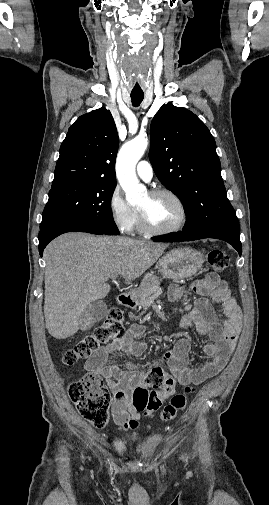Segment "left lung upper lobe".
<instances>
[{
  "label": "left lung upper lobe",
  "instance_id": "5c2ea615",
  "mask_svg": "<svg viewBox=\"0 0 269 505\" xmlns=\"http://www.w3.org/2000/svg\"><path fill=\"white\" fill-rule=\"evenodd\" d=\"M149 159L156 176L182 201L184 234L235 229L239 223L221 177L216 143L205 124L186 108L163 105L151 123Z\"/></svg>",
  "mask_w": 269,
  "mask_h": 505
}]
</instances>
